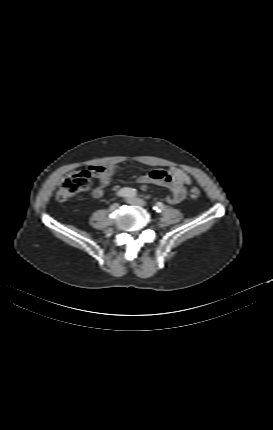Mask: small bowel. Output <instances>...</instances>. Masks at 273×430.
<instances>
[{
	"label": "small bowel",
	"mask_w": 273,
	"mask_h": 430,
	"mask_svg": "<svg viewBox=\"0 0 273 430\" xmlns=\"http://www.w3.org/2000/svg\"><path fill=\"white\" fill-rule=\"evenodd\" d=\"M119 169L118 164L110 166L93 164L88 167V172L99 180V186L92 191L94 198H101L104 195V189ZM191 182V177L178 168L157 169L138 178L140 184L154 183L169 188L171 194L166 197V202L169 204H178L183 201L186 196V187Z\"/></svg>",
	"instance_id": "c3829d8e"
}]
</instances>
